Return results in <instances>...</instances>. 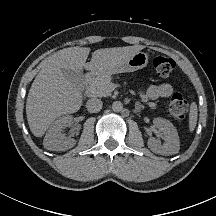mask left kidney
Returning <instances> with one entry per match:
<instances>
[{"instance_id": "obj_1", "label": "left kidney", "mask_w": 216, "mask_h": 216, "mask_svg": "<svg viewBox=\"0 0 216 216\" xmlns=\"http://www.w3.org/2000/svg\"><path fill=\"white\" fill-rule=\"evenodd\" d=\"M154 125L165 135V143L161 145L156 139L150 138L147 142L148 148L160 155H172L178 153L180 141L176 128L173 124L162 118H155Z\"/></svg>"}]
</instances>
